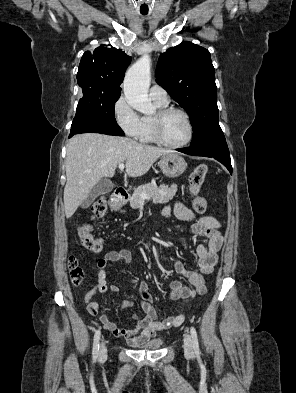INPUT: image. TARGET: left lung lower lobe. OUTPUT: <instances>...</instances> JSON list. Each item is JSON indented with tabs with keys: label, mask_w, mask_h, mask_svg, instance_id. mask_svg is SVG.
I'll return each mask as SVG.
<instances>
[{
	"label": "left lung lower lobe",
	"mask_w": 296,
	"mask_h": 393,
	"mask_svg": "<svg viewBox=\"0 0 296 393\" xmlns=\"http://www.w3.org/2000/svg\"><path fill=\"white\" fill-rule=\"evenodd\" d=\"M177 150L194 156L213 157L221 162L232 174L230 154L226 140H218L198 147H188Z\"/></svg>",
	"instance_id": "obj_1"
}]
</instances>
